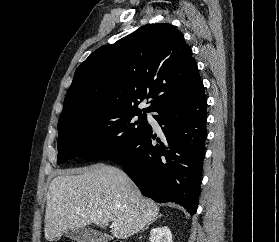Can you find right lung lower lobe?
I'll list each match as a JSON object with an SVG mask.
<instances>
[{"mask_svg": "<svg viewBox=\"0 0 279 242\" xmlns=\"http://www.w3.org/2000/svg\"><path fill=\"white\" fill-rule=\"evenodd\" d=\"M206 108L202 86L155 110L162 140L149 126L143 136L106 159L121 165L144 196L159 203L176 202L194 215L205 158Z\"/></svg>", "mask_w": 279, "mask_h": 242, "instance_id": "98d812e1", "label": "right lung lower lobe"}]
</instances>
